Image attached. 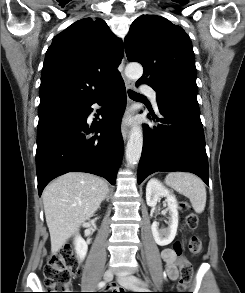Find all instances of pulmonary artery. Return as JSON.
Masks as SVG:
<instances>
[{
  "mask_svg": "<svg viewBox=\"0 0 245 293\" xmlns=\"http://www.w3.org/2000/svg\"><path fill=\"white\" fill-rule=\"evenodd\" d=\"M142 92L149 95L153 100V105L155 108H157V101H156V91L154 89L144 88L142 89Z\"/></svg>",
  "mask_w": 245,
  "mask_h": 293,
  "instance_id": "e3ab8cb5",
  "label": "pulmonary artery"
}]
</instances>
